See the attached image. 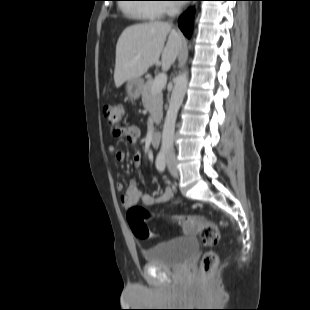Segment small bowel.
<instances>
[{"instance_id":"obj_1","label":"small bowel","mask_w":310,"mask_h":310,"mask_svg":"<svg viewBox=\"0 0 310 310\" xmlns=\"http://www.w3.org/2000/svg\"><path fill=\"white\" fill-rule=\"evenodd\" d=\"M113 136L118 138H125L127 142L131 145L136 146L139 138L140 131L138 127L134 125H129L120 128L112 129ZM108 152L112 154L115 159L119 162L125 160V153L123 150L119 149L116 145L110 144L108 146ZM132 161L134 166L138 167L142 164L143 156L140 151H136L132 156ZM116 188L121 191L124 188L123 183L118 182ZM173 191L169 188L165 189L163 192L157 195L143 193L139 190L137 181L132 179L128 186L125 189L124 194L121 196L120 201L123 207L128 208L134 204H137L139 201L142 202L145 206H152L154 204L167 203L173 199ZM186 233H191L186 227L184 228Z\"/></svg>"}]
</instances>
